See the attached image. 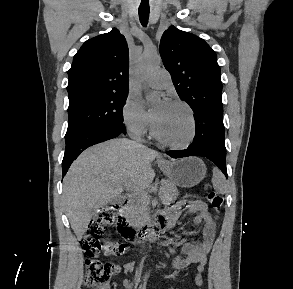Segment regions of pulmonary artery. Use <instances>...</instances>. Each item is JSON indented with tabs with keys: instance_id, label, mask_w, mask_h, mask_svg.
I'll list each match as a JSON object with an SVG mask.
<instances>
[{
	"instance_id": "1",
	"label": "pulmonary artery",
	"mask_w": 293,
	"mask_h": 289,
	"mask_svg": "<svg viewBox=\"0 0 293 289\" xmlns=\"http://www.w3.org/2000/svg\"><path fill=\"white\" fill-rule=\"evenodd\" d=\"M148 85L153 88H166L171 85V77L167 70L159 69L148 79Z\"/></svg>"
}]
</instances>
